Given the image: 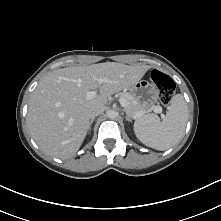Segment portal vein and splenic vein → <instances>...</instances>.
I'll return each mask as SVG.
<instances>
[{
  "label": "portal vein and splenic vein",
  "instance_id": "obj_1",
  "mask_svg": "<svg viewBox=\"0 0 221 221\" xmlns=\"http://www.w3.org/2000/svg\"><path fill=\"white\" fill-rule=\"evenodd\" d=\"M102 82H104V79H100V80H99V83H102ZM95 96H96V91H88V92L86 93L87 99H92V98L95 97ZM119 102H120L121 106L124 107V108H126L127 105H128L127 100L124 99V98H120V99H119ZM152 110H154V112H156V113H160V112L162 111V108H161L160 106H154V107L152 108ZM150 111H151V109L148 110L147 112H150ZM144 113H146V112H139V113L136 115V118L141 117Z\"/></svg>",
  "mask_w": 221,
  "mask_h": 221
}]
</instances>
